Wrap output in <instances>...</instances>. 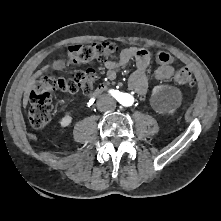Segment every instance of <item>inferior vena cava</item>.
Segmentation results:
<instances>
[{
	"label": "inferior vena cava",
	"mask_w": 221,
	"mask_h": 221,
	"mask_svg": "<svg viewBox=\"0 0 221 221\" xmlns=\"http://www.w3.org/2000/svg\"><path fill=\"white\" fill-rule=\"evenodd\" d=\"M116 107V101L109 95H103L97 101V108L101 112L113 110Z\"/></svg>",
	"instance_id": "602c4592"
}]
</instances>
